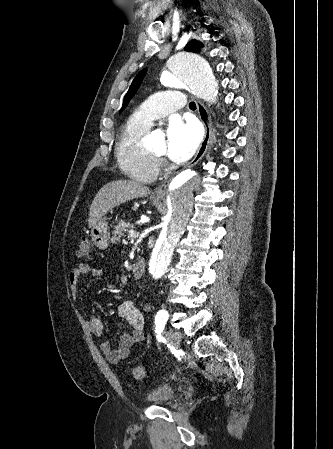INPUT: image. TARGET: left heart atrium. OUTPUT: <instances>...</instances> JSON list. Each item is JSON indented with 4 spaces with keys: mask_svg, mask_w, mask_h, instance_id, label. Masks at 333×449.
I'll return each mask as SVG.
<instances>
[{
    "mask_svg": "<svg viewBox=\"0 0 333 449\" xmlns=\"http://www.w3.org/2000/svg\"><path fill=\"white\" fill-rule=\"evenodd\" d=\"M166 137L169 158L181 163L188 160L196 151L200 142V131L193 122L173 119L168 125Z\"/></svg>",
    "mask_w": 333,
    "mask_h": 449,
    "instance_id": "1",
    "label": "left heart atrium"
}]
</instances>
